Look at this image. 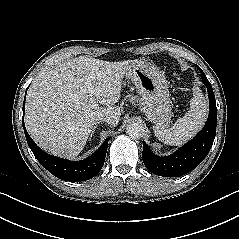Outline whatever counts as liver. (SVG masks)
Instances as JSON below:
<instances>
[{
    "label": "liver",
    "mask_w": 239,
    "mask_h": 239,
    "mask_svg": "<svg viewBox=\"0 0 239 239\" xmlns=\"http://www.w3.org/2000/svg\"><path fill=\"white\" fill-rule=\"evenodd\" d=\"M133 60L103 61L80 56L38 74L26 99L25 124L32 139L45 151L73 159L84 148L97 116H109L116 126L121 112L122 79ZM95 101L107 108L92 107Z\"/></svg>",
    "instance_id": "6515ba94"
}]
</instances>
